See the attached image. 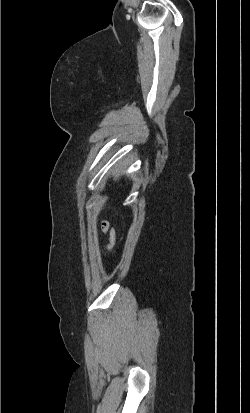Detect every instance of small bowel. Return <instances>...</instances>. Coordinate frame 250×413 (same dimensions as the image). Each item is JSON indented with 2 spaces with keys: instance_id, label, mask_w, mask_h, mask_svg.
<instances>
[{
  "instance_id": "1",
  "label": "small bowel",
  "mask_w": 250,
  "mask_h": 413,
  "mask_svg": "<svg viewBox=\"0 0 250 413\" xmlns=\"http://www.w3.org/2000/svg\"><path fill=\"white\" fill-rule=\"evenodd\" d=\"M102 229L105 233H107L109 235V242L106 245L107 249H110L113 247L114 243H115V231L113 228H111L109 226V224L107 222H104L102 224Z\"/></svg>"
}]
</instances>
